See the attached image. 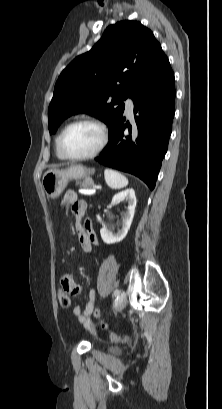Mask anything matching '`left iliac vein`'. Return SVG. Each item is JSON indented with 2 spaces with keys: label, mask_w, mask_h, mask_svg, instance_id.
Returning <instances> with one entry per match:
<instances>
[{
  "label": "left iliac vein",
  "mask_w": 222,
  "mask_h": 409,
  "mask_svg": "<svg viewBox=\"0 0 222 409\" xmlns=\"http://www.w3.org/2000/svg\"><path fill=\"white\" fill-rule=\"evenodd\" d=\"M127 304V296L125 292H121L118 302H117V311H121L125 308Z\"/></svg>",
  "instance_id": "obj_1"
}]
</instances>
